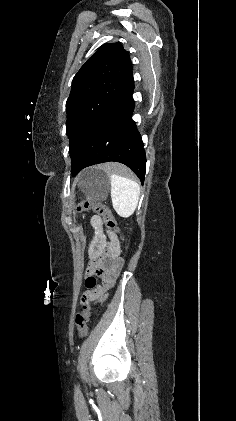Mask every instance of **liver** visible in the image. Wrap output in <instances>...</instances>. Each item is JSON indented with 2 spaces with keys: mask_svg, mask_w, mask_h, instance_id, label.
Wrapping results in <instances>:
<instances>
[{
  "mask_svg": "<svg viewBox=\"0 0 236 421\" xmlns=\"http://www.w3.org/2000/svg\"><path fill=\"white\" fill-rule=\"evenodd\" d=\"M111 164L109 162H105V164H101L100 168H104V170H108L110 168Z\"/></svg>",
  "mask_w": 236,
  "mask_h": 421,
  "instance_id": "obj_1",
  "label": "liver"
}]
</instances>
